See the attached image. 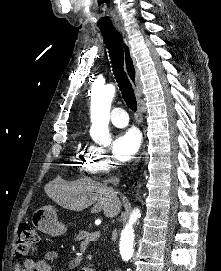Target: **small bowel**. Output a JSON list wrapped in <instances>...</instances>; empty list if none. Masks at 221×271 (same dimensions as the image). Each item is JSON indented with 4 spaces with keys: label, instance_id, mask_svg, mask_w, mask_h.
Here are the masks:
<instances>
[{
    "label": "small bowel",
    "instance_id": "obj_1",
    "mask_svg": "<svg viewBox=\"0 0 221 271\" xmlns=\"http://www.w3.org/2000/svg\"><path fill=\"white\" fill-rule=\"evenodd\" d=\"M58 252L56 250H49L46 252L44 258L26 259L23 264H18L16 271H53L55 263L58 259Z\"/></svg>",
    "mask_w": 221,
    "mask_h": 271
}]
</instances>
